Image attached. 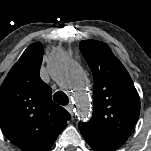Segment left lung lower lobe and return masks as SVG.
Segmentation results:
<instances>
[{"label":"left lung lower lobe","instance_id":"obj_1","mask_svg":"<svg viewBox=\"0 0 151 151\" xmlns=\"http://www.w3.org/2000/svg\"><path fill=\"white\" fill-rule=\"evenodd\" d=\"M83 137L95 151H115L127 140L124 138L94 136L89 134H84Z\"/></svg>","mask_w":151,"mask_h":151}]
</instances>
